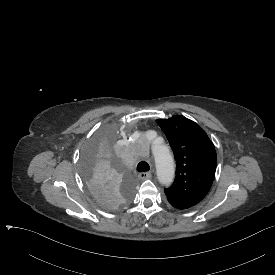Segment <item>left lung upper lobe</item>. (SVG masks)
Listing matches in <instances>:
<instances>
[{"instance_id":"1","label":"left lung upper lobe","mask_w":275,"mask_h":275,"mask_svg":"<svg viewBox=\"0 0 275 275\" xmlns=\"http://www.w3.org/2000/svg\"><path fill=\"white\" fill-rule=\"evenodd\" d=\"M176 160V177L165 188L169 203L187 209L199 203L208 193L216 170V150L205 131L181 115L158 119Z\"/></svg>"}]
</instances>
